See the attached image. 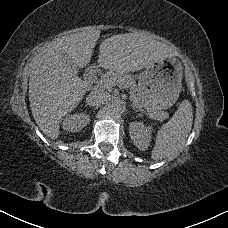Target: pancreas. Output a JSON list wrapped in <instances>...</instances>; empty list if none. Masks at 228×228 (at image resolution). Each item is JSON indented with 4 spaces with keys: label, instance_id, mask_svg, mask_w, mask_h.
<instances>
[{
    "label": "pancreas",
    "instance_id": "pancreas-1",
    "mask_svg": "<svg viewBox=\"0 0 228 228\" xmlns=\"http://www.w3.org/2000/svg\"><path fill=\"white\" fill-rule=\"evenodd\" d=\"M101 78L108 79L109 81L113 82L114 85L120 88H129L130 89V97L135 99L138 105L143 108V111L149 112L150 116H154L156 120L164 121L166 118L169 117L167 113H160L156 110L148 109L147 104L142 99H139L138 96L135 94L136 92V83L135 78L133 76H129L125 73H116L113 71H109L104 74Z\"/></svg>",
    "mask_w": 228,
    "mask_h": 228
}]
</instances>
